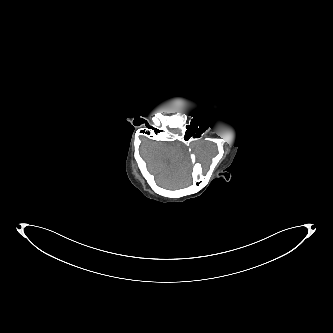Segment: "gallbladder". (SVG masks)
Listing matches in <instances>:
<instances>
[{"mask_svg":"<svg viewBox=\"0 0 333 333\" xmlns=\"http://www.w3.org/2000/svg\"><path fill=\"white\" fill-rule=\"evenodd\" d=\"M187 105H188V106H190V103H189V101H187Z\"/></svg>","mask_w":333,"mask_h":333,"instance_id":"bac80fb5","label":"gallbladder"}]
</instances>
